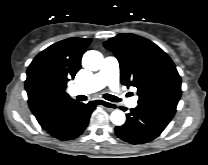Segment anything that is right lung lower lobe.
Returning <instances> with one entry per match:
<instances>
[{
    "label": "right lung lower lobe",
    "mask_w": 208,
    "mask_h": 165,
    "mask_svg": "<svg viewBox=\"0 0 208 165\" xmlns=\"http://www.w3.org/2000/svg\"><path fill=\"white\" fill-rule=\"evenodd\" d=\"M95 107L94 101L87 104L75 101L54 112L39 124L50 135L59 140L75 139L87 127Z\"/></svg>",
    "instance_id": "obj_1"
}]
</instances>
